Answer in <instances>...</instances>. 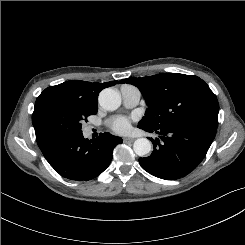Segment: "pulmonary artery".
Segmentation results:
<instances>
[{
    "instance_id": "pulmonary-artery-1",
    "label": "pulmonary artery",
    "mask_w": 245,
    "mask_h": 245,
    "mask_svg": "<svg viewBox=\"0 0 245 245\" xmlns=\"http://www.w3.org/2000/svg\"><path fill=\"white\" fill-rule=\"evenodd\" d=\"M120 91L125 107L132 108L139 103L141 98V92L138 88L132 85H123Z\"/></svg>"
}]
</instances>
